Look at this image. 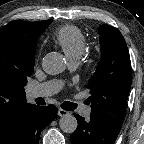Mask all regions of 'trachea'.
Instances as JSON below:
<instances>
[{"instance_id": "obj_1", "label": "trachea", "mask_w": 144, "mask_h": 144, "mask_svg": "<svg viewBox=\"0 0 144 144\" xmlns=\"http://www.w3.org/2000/svg\"><path fill=\"white\" fill-rule=\"evenodd\" d=\"M61 107L64 109V110H67V111H72L74 109H76V104L72 103V102H63Z\"/></svg>"}]
</instances>
